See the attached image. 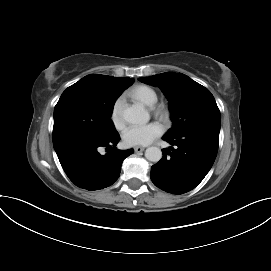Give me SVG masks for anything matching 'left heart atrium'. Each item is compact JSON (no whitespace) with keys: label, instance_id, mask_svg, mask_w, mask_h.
I'll return each mask as SVG.
<instances>
[{"label":"left heart atrium","instance_id":"39dd6f15","mask_svg":"<svg viewBox=\"0 0 271 271\" xmlns=\"http://www.w3.org/2000/svg\"><path fill=\"white\" fill-rule=\"evenodd\" d=\"M163 133V127L158 123L130 125L123 132V141L128 146H145L153 142Z\"/></svg>","mask_w":271,"mask_h":271}]
</instances>
